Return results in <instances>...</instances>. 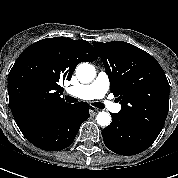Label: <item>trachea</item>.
I'll return each instance as SVG.
<instances>
[{
	"label": "trachea",
	"mask_w": 178,
	"mask_h": 178,
	"mask_svg": "<svg viewBox=\"0 0 178 178\" xmlns=\"http://www.w3.org/2000/svg\"><path fill=\"white\" fill-rule=\"evenodd\" d=\"M66 101L67 102H77L78 100L74 97H71V96H66ZM93 106L97 107V108H100V109H103L104 108V105L100 102H95V103H92Z\"/></svg>",
	"instance_id": "obj_1"
}]
</instances>
